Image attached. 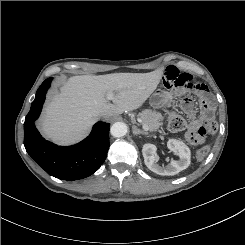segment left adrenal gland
Instances as JSON below:
<instances>
[{
  "mask_svg": "<svg viewBox=\"0 0 245 245\" xmlns=\"http://www.w3.org/2000/svg\"><path fill=\"white\" fill-rule=\"evenodd\" d=\"M132 130H133V134L134 135H140V134H142V135H148V132H145V131L140 130L139 128H137V126H133L132 127Z\"/></svg>",
  "mask_w": 245,
  "mask_h": 245,
  "instance_id": "a2214340",
  "label": "left adrenal gland"
}]
</instances>
